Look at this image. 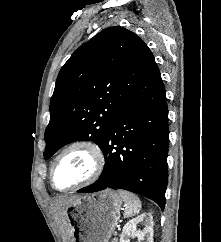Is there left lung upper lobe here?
Listing matches in <instances>:
<instances>
[{
    "mask_svg": "<svg viewBox=\"0 0 221 242\" xmlns=\"http://www.w3.org/2000/svg\"><path fill=\"white\" fill-rule=\"evenodd\" d=\"M158 72L147 45L120 26L106 28L81 45L58 74L44 156L73 141L91 140L102 148L117 114Z\"/></svg>",
    "mask_w": 221,
    "mask_h": 242,
    "instance_id": "obj_1",
    "label": "left lung upper lobe"
}]
</instances>
